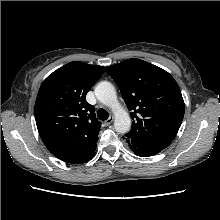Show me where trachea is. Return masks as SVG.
Instances as JSON below:
<instances>
[{"label":"trachea","mask_w":220,"mask_h":220,"mask_svg":"<svg viewBox=\"0 0 220 220\" xmlns=\"http://www.w3.org/2000/svg\"><path fill=\"white\" fill-rule=\"evenodd\" d=\"M97 116L100 120H106L109 117V114L106 110L101 108L97 111Z\"/></svg>","instance_id":"obj_1"}]
</instances>
